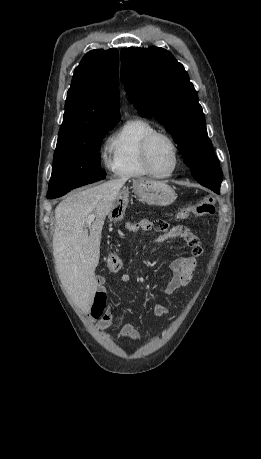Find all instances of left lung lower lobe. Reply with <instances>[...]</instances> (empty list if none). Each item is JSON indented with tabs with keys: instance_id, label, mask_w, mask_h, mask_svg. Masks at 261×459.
<instances>
[{
	"instance_id": "obj_1",
	"label": "left lung lower lobe",
	"mask_w": 261,
	"mask_h": 459,
	"mask_svg": "<svg viewBox=\"0 0 261 459\" xmlns=\"http://www.w3.org/2000/svg\"><path fill=\"white\" fill-rule=\"evenodd\" d=\"M201 185L211 189L212 191H214L215 193L217 194H220V185H221V182L219 181H214V180H208V181H203V180H199L198 181Z\"/></svg>"
}]
</instances>
